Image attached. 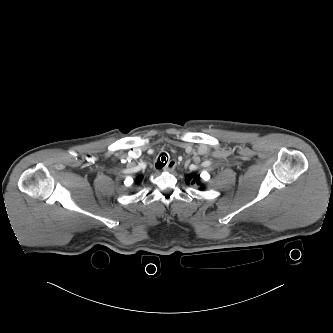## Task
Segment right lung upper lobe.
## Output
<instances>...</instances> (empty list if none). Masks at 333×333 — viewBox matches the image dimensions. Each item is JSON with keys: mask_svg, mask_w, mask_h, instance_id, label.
<instances>
[{"mask_svg": "<svg viewBox=\"0 0 333 333\" xmlns=\"http://www.w3.org/2000/svg\"><path fill=\"white\" fill-rule=\"evenodd\" d=\"M141 180V177H138V181H140ZM137 182V181H136Z\"/></svg>", "mask_w": 333, "mask_h": 333, "instance_id": "right-lung-upper-lobe-1", "label": "right lung upper lobe"}]
</instances>
